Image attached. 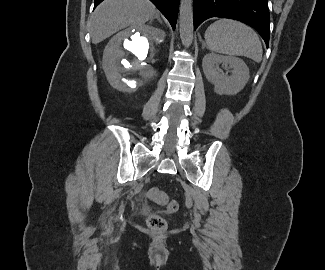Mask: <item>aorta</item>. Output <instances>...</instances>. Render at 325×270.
Instances as JSON below:
<instances>
[{
  "label": "aorta",
  "mask_w": 325,
  "mask_h": 270,
  "mask_svg": "<svg viewBox=\"0 0 325 270\" xmlns=\"http://www.w3.org/2000/svg\"><path fill=\"white\" fill-rule=\"evenodd\" d=\"M193 0H181L179 27L182 44L189 47L193 41Z\"/></svg>",
  "instance_id": "obj_1"
}]
</instances>
